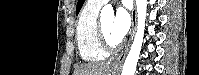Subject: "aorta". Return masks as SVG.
I'll use <instances>...</instances> for the list:
<instances>
[{"label": "aorta", "instance_id": "aorta-1", "mask_svg": "<svg viewBox=\"0 0 199 75\" xmlns=\"http://www.w3.org/2000/svg\"><path fill=\"white\" fill-rule=\"evenodd\" d=\"M136 6H137V17H138L137 31L132 46L130 48V51L126 57L122 70V75H134L141 47L143 44L145 20L147 12V0H136ZM100 16L101 20L109 17H114V11L112 6L110 5L104 6L101 10Z\"/></svg>", "mask_w": 199, "mask_h": 75}]
</instances>
